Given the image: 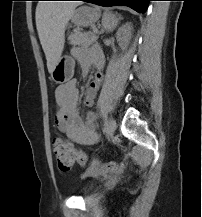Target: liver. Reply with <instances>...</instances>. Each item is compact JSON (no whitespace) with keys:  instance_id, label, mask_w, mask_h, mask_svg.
I'll return each instance as SVG.
<instances>
[{"instance_id":"liver-1","label":"liver","mask_w":202,"mask_h":217,"mask_svg":"<svg viewBox=\"0 0 202 217\" xmlns=\"http://www.w3.org/2000/svg\"><path fill=\"white\" fill-rule=\"evenodd\" d=\"M78 3L41 2L36 7V27L51 74L61 58L65 43V27Z\"/></svg>"}]
</instances>
